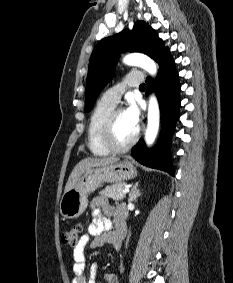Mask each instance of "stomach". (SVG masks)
<instances>
[{
  "mask_svg": "<svg viewBox=\"0 0 233 283\" xmlns=\"http://www.w3.org/2000/svg\"><path fill=\"white\" fill-rule=\"evenodd\" d=\"M137 176L132 162L124 160L118 163L86 169L76 185L65 192L60 201V213L64 218L79 217L87 208L89 194L104 183H120Z\"/></svg>",
  "mask_w": 233,
  "mask_h": 283,
  "instance_id": "0dacf381",
  "label": "stomach"
}]
</instances>
